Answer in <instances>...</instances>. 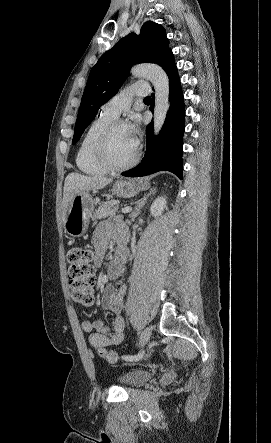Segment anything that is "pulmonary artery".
Here are the masks:
<instances>
[{"label": "pulmonary artery", "mask_w": 271, "mask_h": 443, "mask_svg": "<svg viewBox=\"0 0 271 443\" xmlns=\"http://www.w3.org/2000/svg\"><path fill=\"white\" fill-rule=\"evenodd\" d=\"M146 92L137 89L133 85L113 96L110 100L101 106L100 113L111 117H117L122 111L129 108L133 96H144Z\"/></svg>", "instance_id": "pulmonary-artery-1"}]
</instances>
